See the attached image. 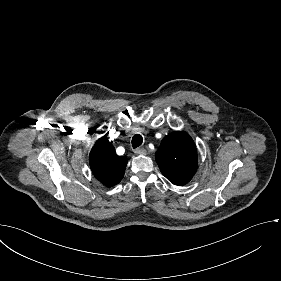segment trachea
<instances>
[{
  "mask_svg": "<svg viewBox=\"0 0 281 281\" xmlns=\"http://www.w3.org/2000/svg\"><path fill=\"white\" fill-rule=\"evenodd\" d=\"M142 142H143L142 135L136 134L133 136L132 141H131L132 147L135 149V148L141 146Z\"/></svg>",
  "mask_w": 281,
  "mask_h": 281,
  "instance_id": "3493384b",
  "label": "trachea"
}]
</instances>
